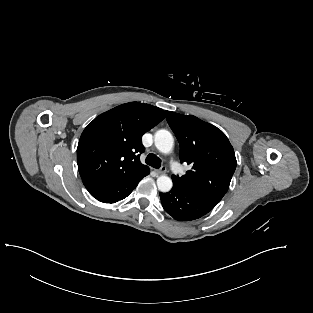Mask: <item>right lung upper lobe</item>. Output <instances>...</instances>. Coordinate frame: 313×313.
I'll return each instance as SVG.
<instances>
[{
	"label": "right lung upper lobe",
	"mask_w": 313,
	"mask_h": 313,
	"mask_svg": "<svg viewBox=\"0 0 313 313\" xmlns=\"http://www.w3.org/2000/svg\"><path fill=\"white\" fill-rule=\"evenodd\" d=\"M158 107L130 102L96 117L83 131L77 163L87 189L117 183L149 168L140 162L141 137L165 118Z\"/></svg>",
	"instance_id": "cb5924a9"
}]
</instances>
